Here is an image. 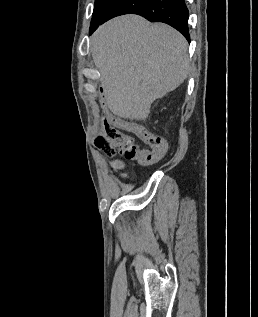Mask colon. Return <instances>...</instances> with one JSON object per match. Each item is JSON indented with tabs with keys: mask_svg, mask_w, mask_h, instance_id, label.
I'll use <instances>...</instances> for the list:
<instances>
[{
	"mask_svg": "<svg viewBox=\"0 0 258 317\" xmlns=\"http://www.w3.org/2000/svg\"><path fill=\"white\" fill-rule=\"evenodd\" d=\"M119 119L115 115H108L104 119V129L97 140V146L106 152H118L124 158L136 160L143 165L159 162L162 159L161 151L140 148L132 136L115 125Z\"/></svg>",
	"mask_w": 258,
	"mask_h": 317,
	"instance_id": "obj_1",
	"label": "colon"
}]
</instances>
